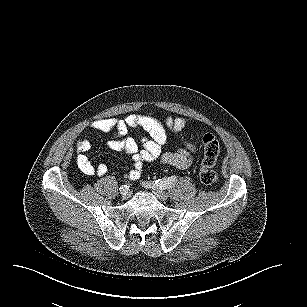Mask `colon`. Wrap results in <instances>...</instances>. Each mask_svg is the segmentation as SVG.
Masks as SVG:
<instances>
[{
	"label": "colon",
	"instance_id": "colon-1",
	"mask_svg": "<svg viewBox=\"0 0 307 307\" xmlns=\"http://www.w3.org/2000/svg\"><path fill=\"white\" fill-rule=\"evenodd\" d=\"M203 147V157L199 170V179L203 184L212 185L218 182L219 176L214 170V166L219 154V143L216 138L209 133L201 137Z\"/></svg>",
	"mask_w": 307,
	"mask_h": 307
}]
</instances>
